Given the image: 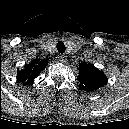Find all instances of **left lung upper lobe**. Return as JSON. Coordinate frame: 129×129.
<instances>
[{
    "mask_svg": "<svg viewBox=\"0 0 129 129\" xmlns=\"http://www.w3.org/2000/svg\"><path fill=\"white\" fill-rule=\"evenodd\" d=\"M78 81L81 83V88L93 91L104 86L107 82V77L103 71H99L95 66L84 62L80 65Z\"/></svg>",
    "mask_w": 129,
    "mask_h": 129,
    "instance_id": "left-lung-upper-lobe-1",
    "label": "left lung upper lobe"
}]
</instances>
